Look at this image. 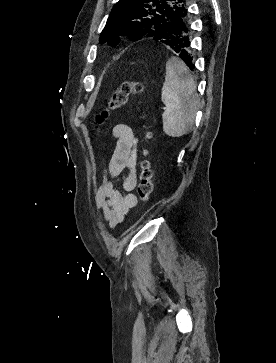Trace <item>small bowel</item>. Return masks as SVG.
<instances>
[{"label":"small bowel","instance_id":"obj_1","mask_svg":"<svg viewBox=\"0 0 276 363\" xmlns=\"http://www.w3.org/2000/svg\"><path fill=\"white\" fill-rule=\"evenodd\" d=\"M112 135L116 141L115 149L107 165V175L95 190L94 200L98 213L111 228H115L137 205L133 190L137 184L138 139L135 130L124 123L115 125ZM124 169L128 170V174L123 179L121 191L114 187V179Z\"/></svg>","mask_w":276,"mask_h":363}]
</instances>
